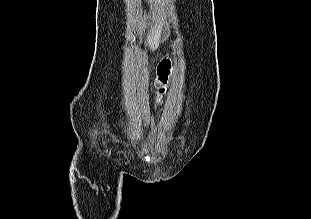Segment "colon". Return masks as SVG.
<instances>
[{
	"instance_id": "5ec220e1",
	"label": "colon",
	"mask_w": 311,
	"mask_h": 219,
	"mask_svg": "<svg viewBox=\"0 0 311 219\" xmlns=\"http://www.w3.org/2000/svg\"><path fill=\"white\" fill-rule=\"evenodd\" d=\"M171 66H172V62L171 60H164L158 67V71H157V83L160 85H164L168 78H169V74H170V70H171ZM159 93L163 94L165 93V88H160L159 89Z\"/></svg>"
}]
</instances>
